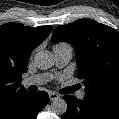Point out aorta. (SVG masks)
Returning <instances> with one entry per match:
<instances>
[{
  "mask_svg": "<svg viewBox=\"0 0 119 119\" xmlns=\"http://www.w3.org/2000/svg\"><path fill=\"white\" fill-rule=\"evenodd\" d=\"M34 62L37 68L47 70L54 65V57L49 51H39L34 56ZM51 110L57 115L64 114L67 111L66 101L62 98H55L51 103Z\"/></svg>",
  "mask_w": 119,
  "mask_h": 119,
  "instance_id": "aorta-1",
  "label": "aorta"
}]
</instances>
